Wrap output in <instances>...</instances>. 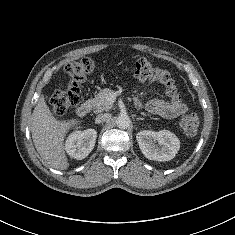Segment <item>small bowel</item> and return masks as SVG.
Instances as JSON below:
<instances>
[{"mask_svg": "<svg viewBox=\"0 0 235 235\" xmlns=\"http://www.w3.org/2000/svg\"><path fill=\"white\" fill-rule=\"evenodd\" d=\"M134 103L136 107H142V102L140 99L136 98ZM145 107L149 113L166 119L177 118L187 111L186 104L182 100H177L173 97L170 99V101L152 99L146 103Z\"/></svg>", "mask_w": 235, "mask_h": 235, "instance_id": "small-bowel-1", "label": "small bowel"}]
</instances>
